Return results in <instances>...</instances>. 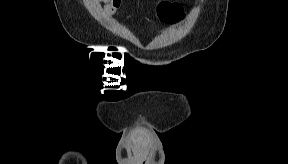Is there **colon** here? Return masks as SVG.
<instances>
[{"label":"colon","mask_w":288,"mask_h":164,"mask_svg":"<svg viewBox=\"0 0 288 164\" xmlns=\"http://www.w3.org/2000/svg\"><path fill=\"white\" fill-rule=\"evenodd\" d=\"M159 15L167 24H177L183 20V11L181 7L174 4L163 3Z\"/></svg>","instance_id":"5ec220e1"}]
</instances>
